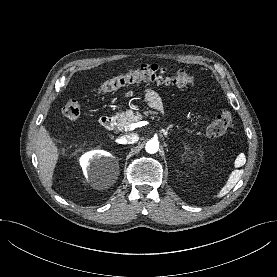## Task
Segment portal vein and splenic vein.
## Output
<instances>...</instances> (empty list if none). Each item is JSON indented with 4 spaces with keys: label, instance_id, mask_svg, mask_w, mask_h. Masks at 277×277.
<instances>
[{
    "label": "portal vein and splenic vein",
    "instance_id": "portal-vein-and-splenic-vein-1",
    "mask_svg": "<svg viewBox=\"0 0 277 277\" xmlns=\"http://www.w3.org/2000/svg\"><path fill=\"white\" fill-rule=\"evenodd\" d=\"M145 124H146V121H141V122H137V123H132L129 127H130V130H133L136 127H141Z\"/></svg>",
    "mask_w": 277,
    "mask_h": 277
}]
</instances>
